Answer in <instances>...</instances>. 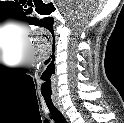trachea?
I'll use <instances>...</instances> for the list:
<instances>
[{
	"mask_svg": "<svg viewBox=\"0 0 124 123\" xmlns=\"http://www.w3.org/2000/svg\"><path fill=\"white\" fill-rule=\"evenodd\" d=\"M44 100L54 121L56 123H67L62 113L53 104L51 97L44 96Z\"/></svg>",
	"mask_w": 124,
	"mask_h": 123,
	"instance_id": "obj_1",
	"label": "trachea"
}]
</instances>
